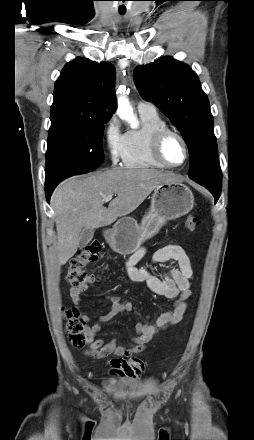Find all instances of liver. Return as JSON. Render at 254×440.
<instances>
[{
    "instance_id": "1",
    "label": "liver",
    "mask_w": 254,
    "mask_h": 440,
    "mask_svg": "<svg viewBox=\"0 0 254 440\" xmlns=\"http://www.w3.org/2000/svg\"><path fill=\"white\" fill-rule=\"evenodd\" d=\"M178 181L149 168H117L61 182L51 197L57 230L58 262L64 265L77 251L84 229L108 226L133 212L160 184ZM117 197L104 207V197Z\"/></svg>"
}]
</instances>
